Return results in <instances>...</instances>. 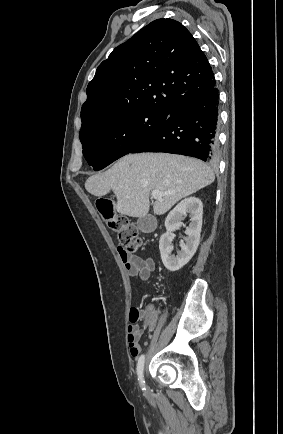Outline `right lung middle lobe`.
<instances>
[{"label": "right lung middle lobe", "mask_w": 283, "mask_h": 434, "mask_svg": "<svg viewBox=\"0 0 283 434\" xmlns=\"http://www.w3.org/2000/svg\"><path fill=\"white\" fill-rule=\"evenodd\" d=\"M168 112L135 110L116 115L81 130L83 154L94 170H100L130 153L169 117Z\"/></svg>", "instance_id": "1"}]
</instances>
